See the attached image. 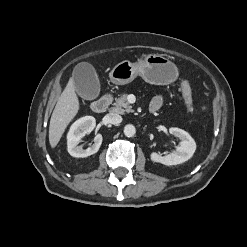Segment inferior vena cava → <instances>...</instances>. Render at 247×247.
Instances as JSON below:
<instances>
[{"instance_id": "1", "label": "inferior vena cava", "mask_w": 247, "mask_h": 247, "mask_svg": "<svg viewBox=\"0 0 247 247\" xmlns=\"http://www.w3.org/2000/svg\"><path fill=\"white\" fill-rule=\"evenodd\" d=\"M104 118L107 123L114 125L122 122V117L119 114L113 112L108 113Z\"/></svg>"}]
</instances>
